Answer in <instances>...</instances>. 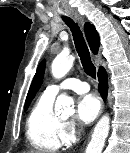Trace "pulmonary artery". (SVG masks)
<instances>
[{"label": "pulmonary artery", "instance_id": "1", "mask_svg": "<svg viewBox=\"0 0 130 153\" xmlns=\"http://www.w3.org/2000/svg\"><path fill=\"white\" fill-rule=\"evenodd\" d=\"M90 89L86 82H82L75 78H68L59 84H51L46 88V92L51 95H57L62 90H72L77 93H85Z\"/></svg>", "mask_w": 130, "mask_h": 153}]
</instances>
